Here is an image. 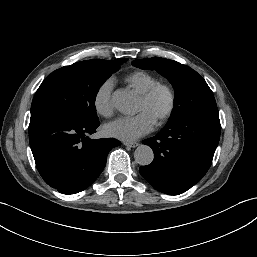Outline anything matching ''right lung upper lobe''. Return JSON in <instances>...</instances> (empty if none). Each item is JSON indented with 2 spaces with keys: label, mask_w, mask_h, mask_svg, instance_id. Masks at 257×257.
Masks as SVG:
<instances>
[{
  "label": "right lung upper lobe",
  "mask_w": 257,
  "mask_h": 257,
  "mask_svg": "<svg viewBox=\"0 0 257 257\" xmlns=\"http://www.w3.org/2000/svg\"><path fill=\"white\" fill-rule=\"evenodd\" d=\"M92 60H96V61H106V60H100V59H92Z\"/></svg>",
  "instance_id": "1"
}]
</instances>
